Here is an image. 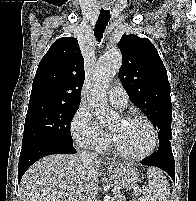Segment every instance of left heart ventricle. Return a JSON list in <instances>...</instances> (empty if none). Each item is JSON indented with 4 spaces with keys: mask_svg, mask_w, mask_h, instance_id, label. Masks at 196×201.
Wrapping results in <instances>:
<instances>
[{
    "mask_svg": "<svg viewBox=\"0 0 196 201\" xmlns=\"http://www.w3.org/2000/svg\"><path fill=\"white\" fill-rule=\"evenodd\" d=\"M109 131L120 148L128 154H141L151 143L150 130L140 121H124L118 118L111 124Z\"/></svg>",
    "mask_w": 196,
    "mask_h": 201,
    "instance_id": "left-heart-ventricle-1",
    "label": "left heart ventricle"
}]
</instances>
